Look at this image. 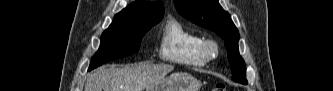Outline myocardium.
<instances>
[{
	"mask_svg": "<svg viewBox=\"0 0 333 91\" xmlns=\"http://www.w3.org/2000/svg\"><path fill=\"white\" fill-rule=\"evenodd\" d=\"M220 51L218 43L213 39H205L202 44V54L207 61L215 59Z\"/></svg>",
	"mask_w": 333,
	"mask_h": 91,
	"instance_id": "obj_1",
	"label": "myocardium"
}]
</instances>
